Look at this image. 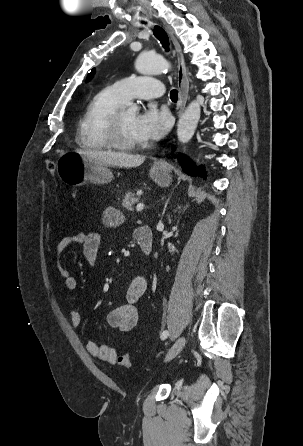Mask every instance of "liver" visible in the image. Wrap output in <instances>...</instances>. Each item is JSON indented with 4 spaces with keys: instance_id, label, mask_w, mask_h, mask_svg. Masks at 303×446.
I'll return each mask as SVG.
<instances>
[{
    "instance_id": "6515ba94",
    "label": "liver",
    "mask_w": 303,
    "mask_h": 446,
    "mask_svg": "<svg viewBox=\"0 0 303 446\" xmlns=\"http://www.w3.org/2000/svg\"><path fill=\"white\" fill-rule=\"evenodd\" d=\"M76 153L98 163L124 168L137 167L145 161V156L120 152L76 150Z\"/></svg>"
}]
</instances>
